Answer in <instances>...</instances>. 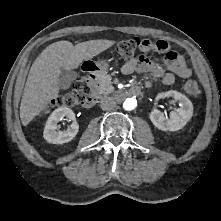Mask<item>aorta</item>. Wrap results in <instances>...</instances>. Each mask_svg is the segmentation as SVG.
<instances>
[{
  "label": "aorta",
  "instance_id": "obj_1",
  "mask_svg": "<svg viewBox=\"0 0 221 221\" xmlns=\"http://www.w3.org/2000/svg\"><path fill=\"white\" fill-rule=\"evenodd\" d=\"M137 106V101L133 98H127L123 103L125 110L131 111Z\"/></svg>",
  "mask_w": 221,
  "mask_h": 221
}]
</instances>
